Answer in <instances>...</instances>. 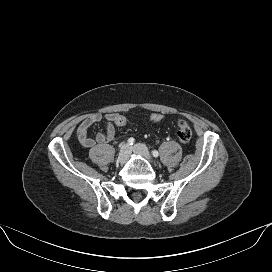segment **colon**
<instances>
[{"instance_id": "5ec220e1", "label": "colon", "mask_w": 272, "mask_h": 272, "mask_svg": "<svg viewBox=\"0 0 272 272\" xmlns=\"http://www.w3.org/2000/svg\"><path fill=\"white\" fill-rule=\"evenodd\" d=\"M164 119V115L162 113H153L150 116V122L151 123H159ZM127 119L125 116L117 114L115 119V125L117 127H122L126 125ZM177 139L181 143H188L192 138V129L189 126V124L184 120H179L177 122V132H176Z\"/></svg>"}]
</instances>
